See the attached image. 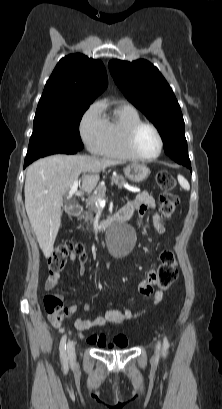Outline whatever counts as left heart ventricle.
<instances>
[{
  "mask_svg": "<svg viewBox=\"0 0 222 409\" xmlns=\"http://www.w3.org/2000/svg\"><path fill=\"white\" fill-rule=\"evenodd\" d=\"M135 145L141 155L153 156L159 149L158 137L151 128L143 127L136 136Z\"/></svg>",
  "mask_w": 222,
  "mask_h": 409,
  "instance_id": "obj_1",
  "label": "left heart ventricle"
}]
</instances>
